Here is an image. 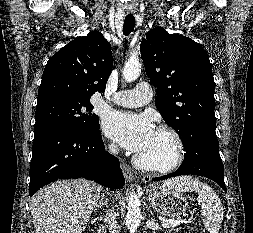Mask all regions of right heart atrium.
<instances>
[{
	"instance_id": "1",
	"label": "right heart atrium",
	"mask_w": 253,
	"mask_h": 233,
	"mask_svg": "<svg viewBox=\"0 0 253 233\" xmlns=\"http://www.w3.org/2000/svg\"><path fill=\"white\" fill-rule=\"evenodd\" d=\"M108 148L112 152L116 151V149H117V147H116V145L114 143H110L109 146H108Z\"/></svg>"
}]
</instances>
